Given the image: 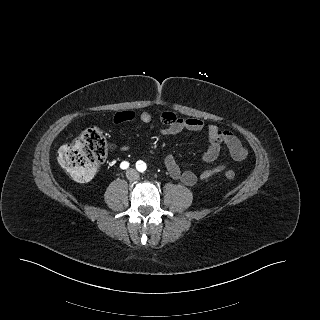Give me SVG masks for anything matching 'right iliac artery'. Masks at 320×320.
Returning a JSON list of instances; mask_svg holds the SVG:
<instances>
[{"label": "right iliac artery", "instance_id": "obj_1", "mask_svg": "<svg viewBox=\"0 0 320 320\" xmlns=\"http://www.w3.org/2000/svg\"><path fill=\"white\" fill-rule=\"evenodd\" d=\"M121 169H127L129 167V163L127 161H123L120 164Z\"/></svg>", "mask_w": 320, "mask_h": 320}]
</instances>
